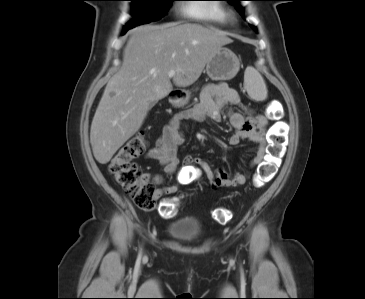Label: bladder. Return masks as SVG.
Here are the masks:
<instances>
[{"mask_svg": "<svg viewBox=\"0 0 365 299\" xmlns=\"http://www.w3.org/2000/svg\"><path fill=\"white\" fill-rule=\"evenodd\" d=\"M203 232L200 221L194 217H184L169 224L168 236L178 242L196 240Z\"/></svg>", "mask_w": 365, "mask_h": 299, "instance_id": "obj_1", "label": "bladder"}]
</instances>
